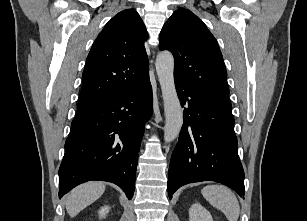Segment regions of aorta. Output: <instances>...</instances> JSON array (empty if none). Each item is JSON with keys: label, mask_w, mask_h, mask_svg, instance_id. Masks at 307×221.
<instances>
[{"label": "aorta", "mask_w": 307, "mask_h": 221, "mask_svg": "<svg viewBox=\"0 0 307 221\" xmlns=\"http://www.w3.org/2000/svg\"><path fill=\"white\" fill-rule=\"evenodd\" d=\"M156 72L161 86L165 112L164 140H175L182 127L183 111L174 83V58L171 52L163 51L156 58Z\"/></svg>", "instance_id": "762f6f07"}]
</instances>
